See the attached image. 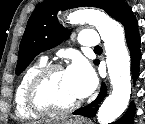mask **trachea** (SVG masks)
Listing matches in <instances>:
<instances>
[{
	"mask_svg": "<svg viewBox=\"0 0 145 124\" xmlns=\"http://www.w3.org/2000/svg\"><path fill=\"white\" fill-rule=\"evenodd\" d=\"M102 48L100 46H97L94 48V50H101Z\"/></svg>",
	"mask_w": 145,
	"mask_h": 124,
	"instance_id": "trachea-1",
	"label": "trachea"
}]
</instances>
